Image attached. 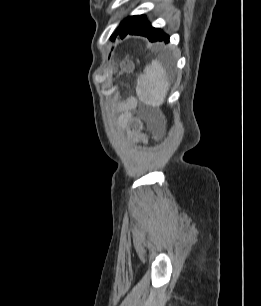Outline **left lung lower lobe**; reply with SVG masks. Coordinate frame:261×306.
Segmentation results:
<instances>
[{"label":"left lung lower lobe","mask_w":261,"mask_h":306,"mask_svg":"<svg viewBox=\"0 0 261 306\" xmlns=\"http://www.w3.org/2000/svg\"><path fill=\"white\" fill-rule=\"evenodd\" d=\"M127 34L145 36L151 42L162 40L169 42V36L160 29L153 28L143 15L135 16L130 25L120 34V38L123 39Z\"/></svg>","instance_id":"1"}]
</instances>
